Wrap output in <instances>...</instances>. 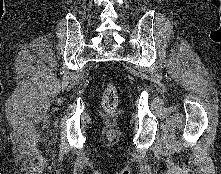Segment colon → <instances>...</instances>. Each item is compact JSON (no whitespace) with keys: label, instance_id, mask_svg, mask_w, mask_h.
Returning <instances> with one entry per match:
<instances>
[{"label":"colon","instance_id":"1","mask_svg":"<svg viewBox=\"0 0 221 174\" xmlns=\"http://www.w3.org/2000/svg\"><path fill=\"white\" fill-rule=\"evenodd\" d=\"M103 109L111 114L118 106V91L114 84L109 83L104 90L102 98Z\"/></svg>","mask_w":221,"mask_h":174}]
</instances>
